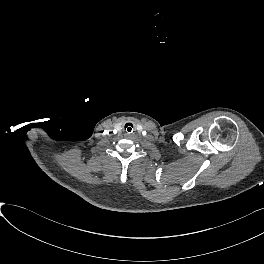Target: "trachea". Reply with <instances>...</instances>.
Listing matches in <instances>:
<instances>
[{"label":"trachea","instance_id":"obj_1","mask_svg":"<svg viewBox=\"0 0 264 264\" xmlns=\"http://www.w3.org/2000/svg\"><path fill=\"white\" fill-rule=\"evenodd\" d=\"M124 131L127 133V134H131L134 132V125L130 122L126 123L124 125Z\"/></svg>","mask_w":264,"mask_h":264}]
</instances>
